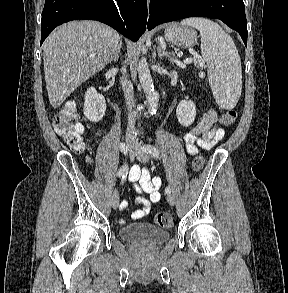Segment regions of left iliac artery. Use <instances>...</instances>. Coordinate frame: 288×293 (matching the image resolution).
I'll return each mask as SVG.
<instances>
[{
  "mask_svg": "<svg viewBox=\"0 0 288 293\" xmlns=\"http://www.w3.org/2000/svg\"><path fill=\"white\" fill-rule=\"evenodd\" d=\"M142 150L146 153H149L150 155H152L154 158H158L159 157V152L157 150V148L153 145H150V144H146V145H143L142 147ZM165 192L167 194L171 193V188L169 186H167L165 188Z\"/></svg>",
  "mask_w": 288,
  "mask_h": 293,
  "instance_id": "44dca946",
  "label": "left iliac artery"
}]
</instances>
